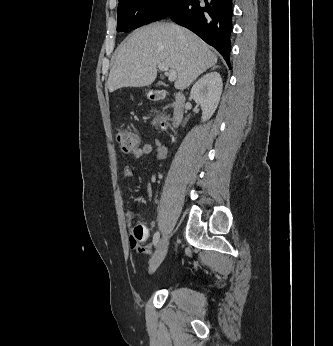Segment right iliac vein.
<instances>
[{"instance_id": "63e3f726", "label": "right iliac vein", "mask_w": 333, "mask_h": 346, "mask_svg": "<svg viewBox=\"0 0 333 346\" xmlns=\"http://www.w3.org/2000/svg\"><path fill=\"white\" fill-rule=\"evenodd\" d=\"M169 246V238L165 234L160 240L149 264L150 272H154L164 260Z\"/></svg>"}]
</instances>
